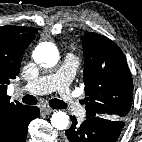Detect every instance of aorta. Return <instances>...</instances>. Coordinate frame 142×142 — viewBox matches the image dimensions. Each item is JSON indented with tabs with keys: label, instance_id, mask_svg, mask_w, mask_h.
<instances>
[{
	"label": "aorta",
	"instance_id": "aorta-1",
	"mask_svg": "<svg viewBox=\"0 0 142 142\" xmlns=\"http://www.w3.org/2000/svg\"><path fill=\"white\" fill-rule=\"evenodd\" d=\"M33 58L44 68H54L59 60V52L53 43L43 42L35 48ZM51 124L55 129L64 130L69 124V116L63 111H57L51 117Z\"/></svg>",
	"mask_w": 142,
	"mask_h": 142
}]
</instances>
